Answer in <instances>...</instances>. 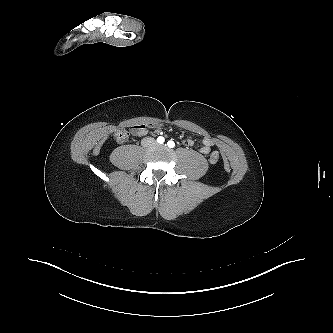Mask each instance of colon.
Instances as JSON below:
<instances>
[{"instance_id":"obj_1","label":"colon","mask_w":333,"mask_h":333,"mask_svg":"<svg viewBox=\"0 0 333 333\" xmlns=\"http://www.w3.org/2000/svg\"><path fill=\"white\" fill-rule=\"evenodd\" d=\"M128 132L126 130H119L115 133V140L119 143H123L128 139ZM209 160L211 163H216L219 160V153L217 151L211 152L209 155Z\"/></svg>"}]
</instances>
